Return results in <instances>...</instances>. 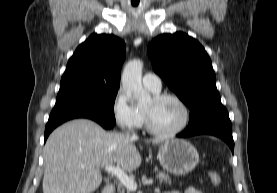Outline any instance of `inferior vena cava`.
Instances as JSON below:
<instances>
[{
    "label": "inferior vena cava",
    "instance_id": "inferior-vena-cava-1",
    "mask_svg": "<svg viewBox=\"0 0 277 193\" xmlns=\"http://www.w3.org/2000/svg\"><path fill=\"white\" fill-rule=\"evenodd\" d=\"M132 137H133V138H136V135H135V134H133V135H132Z\"/></svg>",
    "mask_w": 277,
    "mask_h": 193
}]
</instances>
